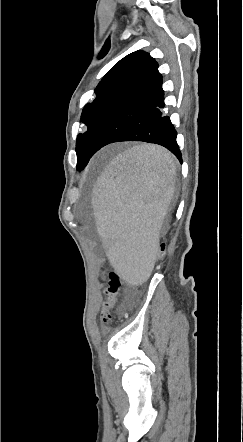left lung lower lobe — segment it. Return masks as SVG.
<instances>
[{
    "instance_id": "0a47b994",
    "label": "left lung lower lobe",
    "mask_w": 243,
    "mask_h": 442,
    "mask_svg": "<svg viewBox=\"0 0 243 442\" xmlns=\"http://www.w3.org/2000/svg\"><path fill=\"white\" fill-rule=\"evenodd\" d=\"M164 91L158 66L125 95L104 118L84 154V164L102 147L113 142L143 141L162 145L182 163L177 132L163 116Z\"/></svg>"
}]
</instances>
